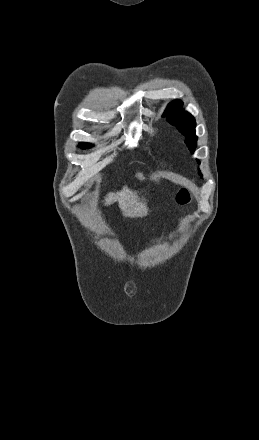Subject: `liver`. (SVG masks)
Segmentation results:
<instances>
[{
  "mask_svg": "<svg viewBox=\"0 0 259 440\" xmlns=\"http://www.w3.org/2000/svg\"><path fill=\"white\" fill-rule=\"evenodd\" d=\"M118 201L119 208L125 217H144L148 214V208L145 200H140L136 191L130 190L128 187L116 193H109L105 197V205H111Z\"/></svg>",
  "mask_w": 259,
  "mask_h": 440,
  "instance_id": "1",
  "label": "liver"
}]
</instances>
